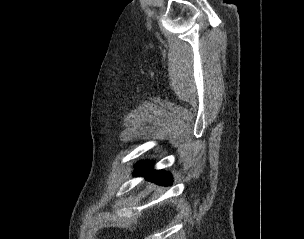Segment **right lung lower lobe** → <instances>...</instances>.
I'll return each instance as SVG.
<instances>
[{
  "label": "right lung lower lobe",
  "instance_id": "1",
  "mask_svg": "<svg viewBox=\"0 0 304 239\" xmlns=\"http://www.w3.org/2000/svg\"><path fill=\"white\" fill-rule=\"evenodd\" d=\"M135 168L136 175H143L157 184L170 185L172 183V177L169 173L162 170H152L150 162L137 164Z\"/></svg>",
  "mask_w": 304,
  "mask_h": 239
}]
</instances>
